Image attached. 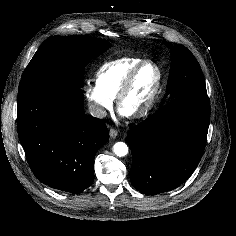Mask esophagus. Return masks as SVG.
Here are the masks:
<instances>
[{
    "instance_id": "esophagus-1",
    "label": "esophagus",
    "mask_w": 236,
    "mask_h": 236,
    "mask_svg": "<svg viewBox=\"0 0 236 236\" xmlns=\"http://www.w3.org/2000/svg\"><path fill=\"white\" fill-rule=\"evenodd\" d=\"M109 135H110L111 138H115V137L118 136V131L115 130V129H110Z\"/></svg>"
}]
</instances>
